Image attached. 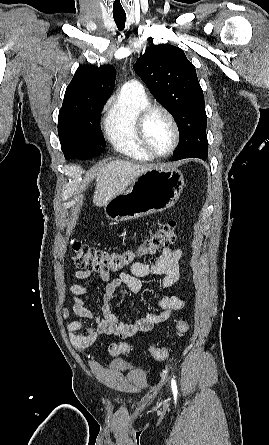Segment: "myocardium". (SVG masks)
Segmentation results:
<instances>
[{
  "label": "myocardium",
  "instance_id": "obj_1",
  "mask_svg": "<svg viewBox=\"0 0 269 445\" xmlns=\"http://www.w3.org/2000/svg\"><path fill=\"white\" fill-rule=\"evenodd\" d=\"M154 112H162L167 116L169 121L172 124L173 132H174V139L173 143L170 147V149L165 153H157L149 144L147 137H146V123L150 117V115ZM136 134L139 140V143L144 148V150L149 153L152 157L157 159H164L169 157L178 147L179 141H180V127L178 124V121L174 114L166 107L157 105V104H149L146 107H144L138 114L137 120H136Z\"/></svg>",
  "mask_w": 269,
  "mask_h": 445
}]
</instances>
